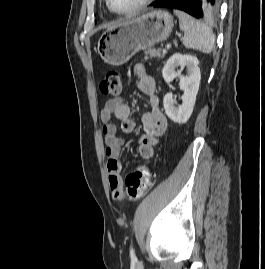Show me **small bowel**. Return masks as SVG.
Masks as SVG:
<instances>
[{
	"label": "small bowel",
	"instance_id": "c3829d8e",
	"mask_svg": "<svg viewBox=\"0 0 265 269\" xmlns=\"http://www.w3.org/2000/svg\"><path fill=\"white\" fill-rule=\"evenodd\" d=\"M137 80L138 90L149 98L150 110L142 116L143 135L138 142V152L143 159H151L154 149L159 143V138L164 134L167 120L159 108L156 96V84L143 64H136L133 68ZM116 118L121 123L123 134L132 133L136 122L130 116V107L122 98L116 97L107 100L101 110L100 119L105 139V154L107 156L108 185L115 200L119 201L122 192L121 165L119 156L123 139L117 125L113 122Z\"/></svg>",
	"mask_w": 265,
	"mask_h": 269
}]
</instances>
